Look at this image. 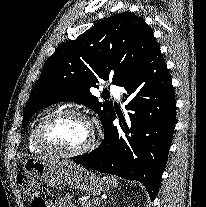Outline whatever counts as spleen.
<instances>
[{"label":"spleen","mask_w":206,"mask_h":207,"mask_svg":"<svg viewBox=\"0 0 206 207\" xmlns=\"http://www.w3.org/2000/svg\"><path fill=\"white\" fill-rule=\"evenodd\" d=\"M110 180L113 182V186H117V180L115 178H110Z\"/></svg>","instance_id":"spleen-1"}]
</instances>
